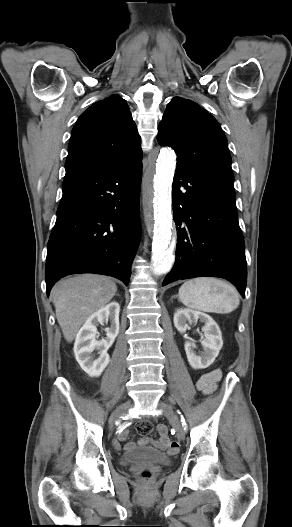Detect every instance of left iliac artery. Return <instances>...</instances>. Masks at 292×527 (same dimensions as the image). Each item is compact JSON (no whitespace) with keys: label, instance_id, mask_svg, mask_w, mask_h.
<instances>
[{"label":"left iliac artery","instance_id":"1","mask_svg":"<svg viewBox=\"0 0 292 527\" xmlns=\"http://www.w3.org/2000/svg\"><path fill=\"white\" fill-rule=\"evenodd\" d=\"M181 422H182V426L184 427V430H186L187 428V424H186V421L184 419V417L181 415Z\"/></svg>","mask_w":292,"mask_h":527}]
</instances>
